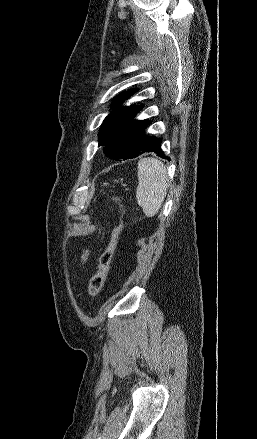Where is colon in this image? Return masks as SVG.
<instances>
[{
    "label": "colon",
    "mask_w": 257,
    "mask_h": 439,
    "mask_svg": "<svg viewBox=\"0 0 257 439\" xmlns=\"http://www.w3.org/2000/svg\"><path fill=\"white\" fill-rule=\"evenodd\" d=\"M112 200L118 206L120 217H122L123 214L125 213L123 199L121 197L114 196ZM119 233H120V224L115 227V229L112 232V236L109 244L107 245L105 250L100 254V256L97 258L96 272L91 277L88 286V290L91 295L98 294L101 291L106 281L110 269V265L114 256V252L116 249ZM88 255H89V251L88 250L84 251V253L82 254L83 263H85V261L87 260Z\"/></svg>",
    "instance_id": "obj_1"
}]
</instances>
